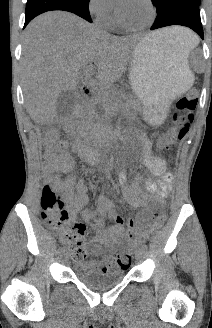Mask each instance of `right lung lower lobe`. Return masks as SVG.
<instances>
[{
  "label": "right lung lower lobe",
  "mask_w": 212,
  "mask_h": 328,
  "mask_svg": "<svg viewBox=\"0 0 212 328\" xmlns=\"http://www.w3.org/2000/svg\"><path fill=\"white\" fill-rule=\"evenodd\" d=\"M90 0H28L25 11L24 27L36 16L47 11L63 10L72 12L89 22H92L89 13Z\"/></svg>",
  "instance_id": "obj_1"
}]
</instances>
